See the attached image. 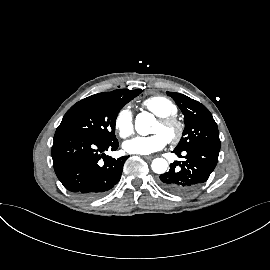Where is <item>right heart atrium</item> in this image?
<instances>
[{"label": "right heart atrium", "mask_w": 270, "mask_h": 270, "mask_svg": "<svg viewBox=\"0 0 270 270\" xmlns=\"http://www.w3.org/2000/svg\"><path fill=\"white\" fill-rule=\"evenodd\" d=\"M114 128L121 138H127L133 133V114L128 107H123L117 112L114 118Z\"/></svg>", "instance_id": "obj_1"}]
</instances>
